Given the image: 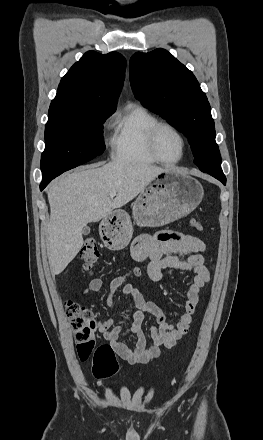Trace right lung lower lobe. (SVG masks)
I'll return each instance as SVG.
<instances>
[{
    "mask_svg": "<svg viewBox=\"0 0 263 440\" xmlns=\"http://www.w3.org/2000/svg\"><path fill=\"white\" fill-rule=\"evenodd\" d=\"M52 179L54 178H43L40 184V189L43 190Z\"/></svg>",
    "mask_w": 263,
    "mask_h": 440,
    "instance_id": "obj_1",
    "label": "right lung lower lobe"
}]
</instances>
